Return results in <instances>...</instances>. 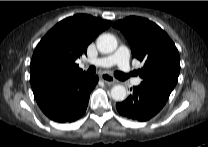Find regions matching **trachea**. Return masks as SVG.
Masks as SVG:
<instances>
[{
  "instance_id": "3493384b",
  "label": "trachea",
  "mask_w": 208,
  "mask_h": 147,
  "mask_svg": "<svg viewBox=\"0 0 208 147\" xmlns=\"http://www.w3.org/2000/svg\"><path fill=\"white\" fill-rule=\"evenodd\" d=\"M87 73L90 74V75H94L96 73V68L94 66H91L88 69ZM114 75H115L116 78H118L120 80H124L128 77V75H125L124 73L119 72V71L114 72Z\"/></svg>"
}]
</instances>
